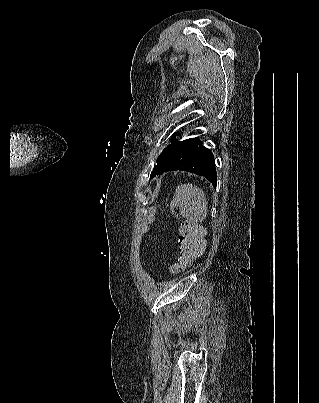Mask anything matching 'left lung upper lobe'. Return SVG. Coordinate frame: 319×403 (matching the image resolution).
<instances>
[{
    "label": "left lung upper lobe",
    "instance_id": "obj_1",
    "mask_svg": "<svg viewBox=\"0 0 319 403\" xmlns=\"http://www.w3.org/2000/svg\"><path fill=\"white\" fill-rule=\"evenodd\" d=\"M180 135V134H177ZM175 134H173V137L171 139L172 144H169L160 154V156L157 159V165L154 167L152 173H151V178L155 177L156 174H162L165 170V168L168 166L171 158L177 151L178 147L183 141H178L177 139L174 138Z\"/></svg>",
    "mask_w": 319,
    "mask_h": 403
}]
</instances>
